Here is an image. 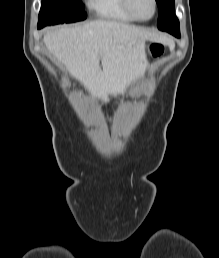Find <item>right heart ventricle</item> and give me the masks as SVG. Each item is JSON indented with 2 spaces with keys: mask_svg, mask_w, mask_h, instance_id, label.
Instances as JSON below:
<instances>
[{
  "mask_svg": "<svg viewBox=\"0 0 219 258\" xmlns=\"http://www.w3.org/2000/svg\"><path fill=\"white\" fill-rule=\"evenodd\" d=\"M89 7L104 20L123 23L135 21L125 10L122 0H89Z\"/></svg>",
  "mask_w": 219,
  "mask_h": 258,
  "instance_id": "e07e8e85",
  "label": "right heart ventricle"
}]
</instances>
